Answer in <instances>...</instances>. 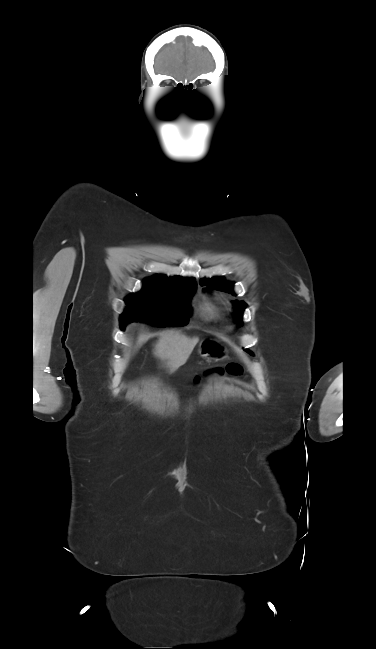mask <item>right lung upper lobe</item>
I'll return each instance as SVG.
<instances>
[{"label": "right lung upper lobe", "mask_w": 376, "mask_h": 649, "mask_svg": "<svg viewBox=\"0 0 376 649\" xmlns=\"http://www.w3.org/2000/svg\"><path fill=\"white\" fill-rule=\"evenodd\" d=\"M165 277H166V276L156 275V276H154L153 278H165ZM175 277H180V276H175Z\"/></svg>", "instance_id": "cb5924a9"}]
</instances>
